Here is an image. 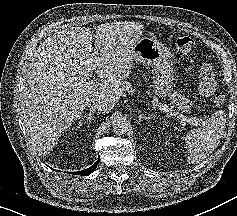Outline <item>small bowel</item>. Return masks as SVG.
Here are the masks:
<instances>
[{
  "instance_id": "1",
  "label": "small bowel",
  "mask_w": 237,
  "mask_h": 216,
  "mask_svg": "<svg viewBox=\"0 0 237 216\" xmlns=\"http://www.w3.org/2000/svg\"><path fill=\"white\" fill-rule=\"evenodd\" d=\"M201 84L199 91L204 96H210L213 93L214 85L212 82V73L209 65H203L200 71Z\"/></svg>"
}]
</instances>
